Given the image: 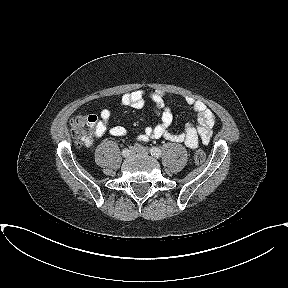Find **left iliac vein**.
<instances>
[{
  "label": "left iliac vein",
  "mask_w": 288,
  "mask_h": 288,
  "mask_svg": "<svg viewBox=\"0 0 288 288\" xmlns=\"http://www.w3.org/2000/svg\"><path fill=\"white\" fill-rule=\"evenodd\" d=\"M134 152L141 153V154H148L149 150L142 145H135Z\"/></svg>",
  "instance_id": "obj_1"
}]
</instances>
